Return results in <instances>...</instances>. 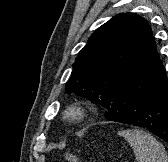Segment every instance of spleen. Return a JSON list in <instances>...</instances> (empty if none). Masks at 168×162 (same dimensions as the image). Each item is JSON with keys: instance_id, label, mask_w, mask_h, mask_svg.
<instances>
[{"instance_id": "obj_1", "label": "spleen", "mask_w": 168, "mask_h": 162, "mask_svg": "<svg viewBox=\"0 0 168 162\" xmlns=\"http://www.w3.org/2000/svg\"><path fill=\"white\" fill-rule=\"evenodd\" d=\"M118 135L128 141L138 162H168L165 148L150 133L129 129L119 131Z\"/></svg>"}]
</instances>
